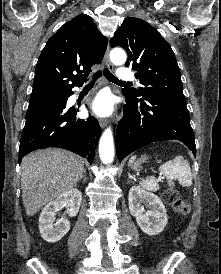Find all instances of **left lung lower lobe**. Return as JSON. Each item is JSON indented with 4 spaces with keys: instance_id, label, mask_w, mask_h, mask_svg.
Instances as JSON below:
<instances>
[{
    "instance_id": "0a47b994",
    "label": "left lung lower lobe",
    "mask_w": 221,
    "mask_h": 274,
    "mask_svg": "<svg viewBox=\"0 0 221 274\" xmlns=\"http://www.w3.org/2000/svg\"><path fill=\"white\" fill-rule=\"evenodd\" d=\"M124 116L116 131L119 161L156 141L179 140L195 155L196 146L186 99L137 100L127 97Z\"/></svg>"
}]
</instances>
